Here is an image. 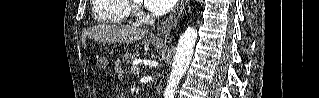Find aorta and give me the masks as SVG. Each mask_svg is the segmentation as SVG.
<instances>
[{
	"instance_id": "aorta-1",
	"label": "aorta",
	"mask_w": 319,
	"mask_h": 98,
	"mask_svg": "<svg viewBox=\"0 0 319 98\" xmlns=\"http://www.w3.org/2000/svg\"><path fill=\"white\" fill-rule=\"evenodd\" d=\"M196 38L197 32L193 27H188L181 35L176 48L168 84L164 91V98H174L177 85L191 62Z\"/></svg>"
}]
</instances>
